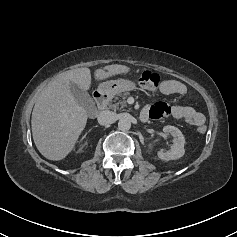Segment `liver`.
I'll use <instances>...</instances> for the list:
<instances>
[{
    "label": "liver",
    "mask_w": 237,
    "mask_h": 237,
    "mask_svg": "<svg viewBox=\"0 0 237 237\" xmlns=\"http://www.w3.org/2000/svg\"><path fill=\"white\" fill-rule=\"evenodd\" d=\"M125 65L112 64L96 69V80L127 73ZM88 90L91 86L89 68H77L57 75L38 97L32 112L31 127L34 143L49 160H62L74 148L84 130L88 114L70 91V83Z\"/></svg>",
    "instance_id": "1"
}]
</instances>
